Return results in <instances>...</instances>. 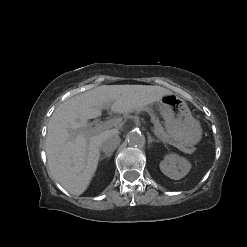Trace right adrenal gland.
Masks as SVG:
<instances>
[{
    "label": "right adrenal gland",
    "instance_id": "2a0ac1e0",
    "mask_svg": "<svg viewBox=\"0 0 247 247\" xmlns=\"http://www.w3.org/2000/svg\"><path fill=\"white\" fill-rule=\"evenodd\" d=\"M111 153L109 154H104L102 157H101V160L105 159V158H110L111 157Z\"/></svg>",
    "mask_w": 247,
    "mask_h": 247
}]
</instances>
